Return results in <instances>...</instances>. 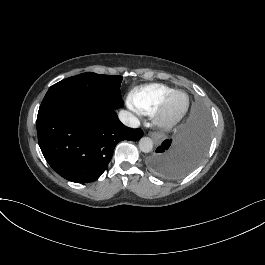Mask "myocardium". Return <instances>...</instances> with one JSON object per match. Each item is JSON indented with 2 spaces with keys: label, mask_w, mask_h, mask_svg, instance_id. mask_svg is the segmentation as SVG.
Here are the masks:
<instances>
[{
  "label": "myocardium",
  "mask_w": 265,
  "mask_h": 265,
  "mask_svg": "<svg viewBox=\"0 0 265 265\" xmlns=\"http://www.w3.org/2000/svg\"><path fill=\"white\" fill-rule=\"evenodd\" d=\"M180 93H183L182 91H174L171 93L168 98L165 100L161 108L159 109L157 121L158 124L164 128H170L178 124L186 115L188 106H189V100L186 98L184 106L182 110L176 114L173 115L170 113V106L173 101V99Z\"/></svg>",
  "instance_id": "obj_1"
}]
</instances>
